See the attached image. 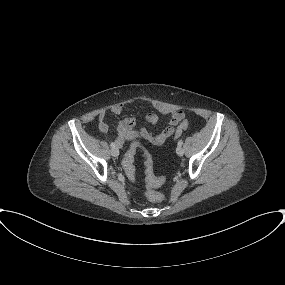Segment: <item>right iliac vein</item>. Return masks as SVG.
<instances>
[{
  "label": "right iliac vein",
  "instance_id": "63e3f726",
  "mask_svg": "<svg viewBox=\"0 0 285 285\" xmlns=\"http://www.w3.org/2000/svg\"><path fill=\"white\" fill-rule=\"evenodd\" d=\"M111 155L113 157H117L119 155V149L118 148H112Z\"/></svg>",
  "mask_w": 285,
  "mask_h": 285
}]
</instances>
